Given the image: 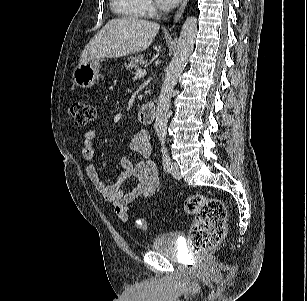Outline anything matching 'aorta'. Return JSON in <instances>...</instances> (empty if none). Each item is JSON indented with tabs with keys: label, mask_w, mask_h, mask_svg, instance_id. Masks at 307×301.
I'll use <instances>...</instances> for the list:
<instances>
[{
	"label": "aorta",
	"mask_w": 307,
	"mask_h": 301,
	"mask_svg": "<svg viewBox=\"0 0 307 301\" xmlns=\"http://www.w3.org/2000/svg\"><path fill=\"white\" fill-rule=\"evenodd\" d=\"M197 34V19L188 17L184 22L172 61L166 68L165 79L160 91L155 119V129L162 146L165 144L167 124L172 92L178 77L187 65L189 56L193 52Z\"/></svg>",
	"instance_id": "aorta-1"
}]
</instances>
